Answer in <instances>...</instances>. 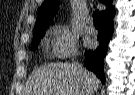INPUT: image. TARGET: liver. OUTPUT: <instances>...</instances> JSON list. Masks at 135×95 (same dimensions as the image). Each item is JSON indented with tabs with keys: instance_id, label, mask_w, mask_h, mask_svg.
I'll return each instance as SVG.
<instances>
[{
	"instance_id": "6515ba94",
	"label": "liver",
	"mask_w": 135,
	"mask_h": 95,
	"mask_svg": "<svg viewBox=\"0 0 135 95\" xmlns=\"http://www.w3.org/2000/svg\"><path fill=\"white\" fill-rule=\"evenodd\" d=\"M100 81L92 73L82 68L75 69L72 64H48L30 75L25 87V95H85L99 88Z\"/></svg>"
}]
</instances>
